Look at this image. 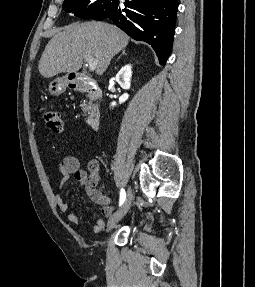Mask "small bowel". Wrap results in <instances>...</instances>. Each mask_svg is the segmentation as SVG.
Here are the masks:
<instances>
[{
  "label": "small bowel",
  "mask_w": 255,
  "mask_h": 287,
  "mask_svg": "<svg viewBox=\"0 0 255 287\" xmlns=\"http://www.w3.org/2000/svg\"><path fill=\"white\" fill-rule=\"evenodd\" d=\"M59 170L62 175V178L59 182V187H62L71 177H73L77 183L84 187L86 193L91 198V200L100 206L101 213L105 217L111 215L112 209L110 206L109 198L103 195L96 188V178L89 175L85 170L81 168L80 162L76 157H64L60 163ZM54 201L58 210L66 216L67 220L73 226H77L79 224V219L75 214L70 211L69 205L65 201L63 196L60 193L55 194ZM104 226L105 221L103 219H97L90 228V233L98 234L99 232H101Z\"/></svg>",
  "instance_id": "1"
}]
</instances>
